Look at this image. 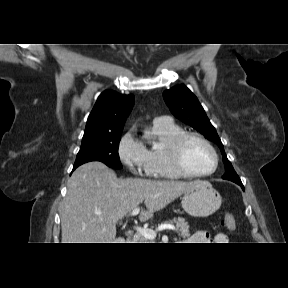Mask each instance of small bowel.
<instances>
[{
    "mask_svg": "<svg viewBox=\"0 0 288 288\" xmlns=\"http://www.w3.org/2000/svg\"><path fill=\"white\" fill-rule=\"evenodd\" d=\"M189 241L191 243H208L211 241L216 243H227L228 238L223 233H217L211 237L207 231H197L190 237Z\"/></svg>",
    "mask_w": 288,
    "mask_h": 288,
    "instance_id": "1",
    "label": "small bowel"
}]
</instances>
